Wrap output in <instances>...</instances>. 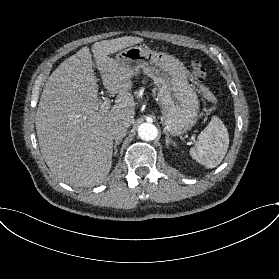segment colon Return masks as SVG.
I'll return each mask as SVG.
<instances>
[{
  "mask_svg": "<svg viewBox=\"0 0 279 279\" xmlns=\"http://www.w3.org/2000/svg\"><path fill=\"white\" fill-rule=\"evenodd\" d=\"M192 74L197 82H203L207 77V72L205 67L198 60H193L191 62Z\"/></svg>",
  "mask_w": 279,
  "mask_h": 279,
  "instance_id": "colon-1",
  "label": "colon"
}]
</instances>
